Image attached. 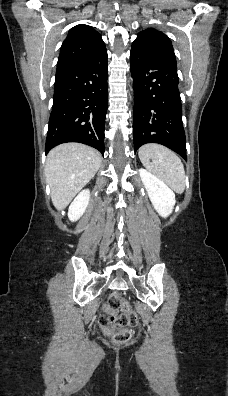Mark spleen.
Masks as SVG:
<instances>
[{"label": "spleen", "instance_id": "obj_1", "mask_svg": "<svg viewBox=\"0 0 228 396\" xmlns=\"http://www.w3.org/2000/svg\"><path fill=\"white\" fill-rule=\"evenodd\" d=\"M143 166L165 182L176 193L185 190V170L180 158L170 149L155 143L143 145L139 149Z\"/></svg>", "mask_w": 228, "mask_h": 396}]
</instances>
